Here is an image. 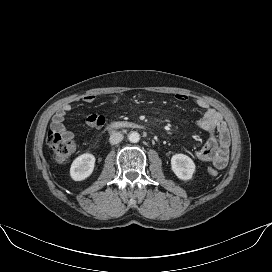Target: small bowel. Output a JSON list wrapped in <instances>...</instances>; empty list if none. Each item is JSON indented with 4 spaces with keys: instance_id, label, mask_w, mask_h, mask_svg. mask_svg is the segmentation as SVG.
<instances>
[{
    "instance_id": "c3829d8e",
    "label": "small bowel",
    "mask_w": 272,
    "mask_h": 272,
    "mask_svg": "<svg viewBox=\"0 0 272 272\" xmlns=\"http://www.w3.org/2000/svg\"><path fill=\"white\" fill-rule=\"evenodd\" d=\"M95 95H87L83 98L86 103L95 101ZM175 99L180 102L187 101L188 97L184 94H176ZM197 104L205 109L201 118L196 121V125L209 134L206 143L196 151L195 155L198 160L203 162H211L214 168L221 170L228 162L229 146H230V133L226 123L224 122L221 114L215 109L210 108L204 100H198ZM70 104H64L60 107L52 119V129L59 132L63 137L72 139L74 137L65 126L66 114L71 111ZM86 122L93 128H100L104 125L105 119L101 115L90 114L86 117Z\"/></svg>"
}]
</instances>
